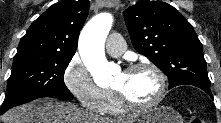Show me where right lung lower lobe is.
Returning a JSON list of instances; mask_svg holds the SVG:
<instances>
[{"label": "right lung lower lobe", "mask_w": 221, "mask_h": 123, "mask_svg": "<svg viewBox=\"0 0 221 123\" xmlns=\"http://www.w3.org/2000/svg\"><path fill=\"white\" fill-rule=\"evenodd\" d=\"M47 97H55V96H47ZM4 112L1 111V114H3Z\"/></svg>", "instance_id": "right-lung-lower-lobe-1"}]
</instances>
